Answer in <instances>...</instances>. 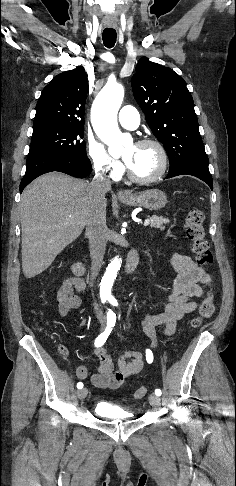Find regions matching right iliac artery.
I'll return each instance as SVG.
<instances>
[{"label":"right iliac artery","instance_id":"82829eb1","mask_svg":"<svg viewBox=\"0 0 236 486\" xmlns=\"http://www.w3.org/2000/svg\"><path fill=\"white\" fill-rule=\"evenodd\" d=\"M116 322V314L109 309L107 312V325L104 330L95 340V347H101L107 340L109 334L112 331V328L115 326ZM77 388L81 389L83 388V383L79 382L77 383Z\"/></svg>","mask_w":236,"mask_h":486}]
</instances>
